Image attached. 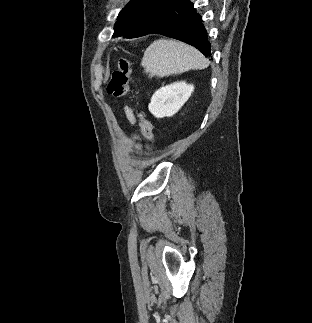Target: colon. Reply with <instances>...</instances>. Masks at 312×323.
Wrapping results in <instances>:
<instances>
[{
	"mask_svg": "<svg viewBox=\"0 0 312 323\" xmlns=\"http://www.w3.org/2000/svg\"><path fill=\"white\" fill-rule=\"evenodd\" d=\"M131 62L126 57H121L118 63V69L112 74L111 80L108 83L107 90L112 97L121 98L129 95L132 87L129 81L131 74ZM140 129L143 138L148 142L154 141V131L151 121L141 117Z\"/></svg>",
	"mask_w": 312,
	"mask_h": 323,
	"instance_id": "colon-1",
	"label": "colon"
}]
</instances>
